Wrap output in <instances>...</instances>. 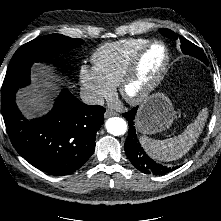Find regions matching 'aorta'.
I'll return each mask as SVG.
<instances>
[{"instance_id": "obj_1", "label": "aorta", "mask_w": 221, "mask_h": 221, "mask_svg": "<svg viewBox=\"0 0 221 221\" xmlns=\"http://www.w3.org/2000/svg\"><path fill=\"white\" fill-rule=\"evenodd\" d=\"M106 130L114 135L120 136L126 133L127 131V123L124 119L120 117H112L106 121Z\"/></svg>"}]
</instances>
